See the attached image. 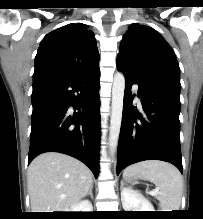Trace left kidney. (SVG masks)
<instances>
[{"instance_id":"left-kidney-1","label":"left kidney","mask_w":203,"mask_h":219,"mask_svg":"<svg viewBox=\"0 0 203 219\" xmlns=\"http://www.w3.org/2000/svg\"><path fill=\"white\" fill-rule=\"evenodd\" d=\"M121 201L125 211H154L153 205L142 194L129 187L121 190Z\"/></svg>"}]
</instances>
